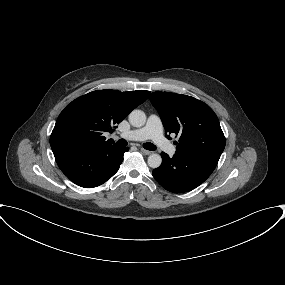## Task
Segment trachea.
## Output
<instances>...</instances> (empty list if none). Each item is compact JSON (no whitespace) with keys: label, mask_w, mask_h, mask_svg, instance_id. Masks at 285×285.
Segmentation results:
<instances>
[{"label":"trachea","mask_w":285,"mask_h":285,"mask_svg":"<svg viewBox=\"0 0 285 285\" xmlns=\"http://www.w3.org/2000/svg\"><path fill=\"white\" fill-rule=\"evenodd\" d=\"M117 144L119 145V146H127V141L125 140V139H119L118 141H117ZM143 147L146 149V150H151V151H154V150H156V146L154 145V144H152V143H144L143 144Z\"/></svg>","instance_id":"3493384b"}]
</instances>
